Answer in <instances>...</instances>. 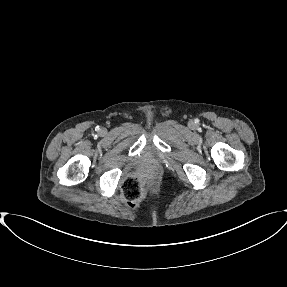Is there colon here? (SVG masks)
Segmentation results:
<instances>
[{"instance_id": "1", "label": "colon", "mask_w": 287, "mask_h": 287, "mask_svg": "<svg viewBox=\"0 0 287 287\" xmlns=\"http://www.w3.org/2000/svg\"><path fill=\"white\" fill-rule=\"evenodd\" d=\"M143 178L140 176L128 177L123 185L122 192L124 199L129 205L135 206L143 196Z\"/></svg>"}]
</instances>
